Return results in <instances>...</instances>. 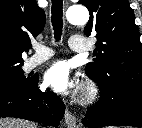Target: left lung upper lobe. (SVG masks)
<instances>
[{"label": "left lung upper lobe", "mask_w": 142, "mask_h": 128, "mask_svg": "<svg viewBox=\"0 0 142 128\" xmlns=\"http://www.w3.org/2000/svg\"><path fill=\"white\" fill-rule=\"evenodd\" d=\"M90 12L84 29L95 35V63L86 74L98 83L100 91L142 90V43L128 0H79Z\"/></svg>", "instance_id": "left-lung-upper-lobe-1"}]
</instances>
